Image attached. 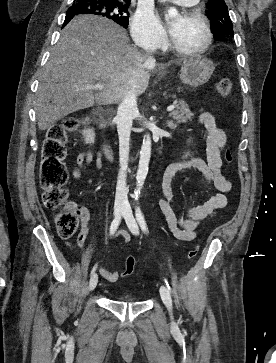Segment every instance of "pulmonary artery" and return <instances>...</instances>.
I'll use <instances>...</instances> for the list:
<instances>
[{
    "mask_svg": "<svg viewBox=\"0 0 276 363\" xmlns=\"http://www.w3.org/2000/svg\"><path fill=\"white\" fill-rule=\"evenodd\" d=\"M170 1L180 6H191L197 2V0H170Z\"/></svg>",
    "mask_w": 276,
    "mask_h": 363,
    "instance_id": "e3ab8cb5",
    "label": "pulmonary artery"
}]
</instances>
